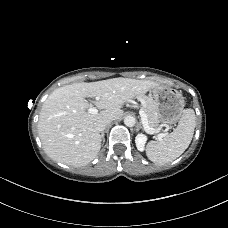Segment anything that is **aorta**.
I'll list each match as a JSON object with an SVG mask.
<instances>
[{"mask_svg":"<svg viewBox=\"0 0 228 228\" xmlns=\"http://www.w3.org/2000/svg\"><path fill=\"white\" fill-rule=\"evenodd\" d=\"M136 123V119L135 117L129 115V116H126L124 118V124L127 126V127H133Z\"/></svg>","mask_w":228,"mask_h":228,"instance_id":"1","label":"aorta"}]
</instances>
